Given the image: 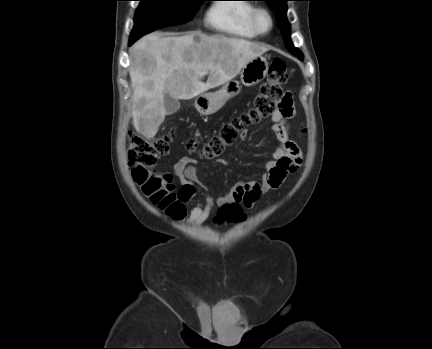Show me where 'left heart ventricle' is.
<instances>
[{
    "mask_svg": "<svg viewBox=\"0 0 432 349\" xmlns=\"http://www.w3.org/2000/svg\"><path fill=\"white\" fill-rule=\"evenodd\" d=\"M259 24H260L262 29H267L269 26V21H268L267 17L264 15H261L259 18Z\"/></svg>",
    "mask_w": 432,
    "mask_h": 349,
    "instance_id": "b2bd125f",
    "label": "left heart ventricle"
}]
</instances>
